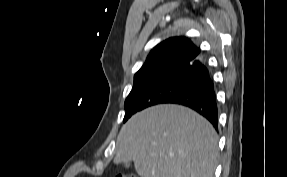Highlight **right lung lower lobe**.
Wrapping results in <instances>:
<instances>
[{
  "label": "right lung lower lobe",
  "instance_id": "1",
  "mask_svg": "<svg viewBox=\"0 0 287 177\" xmlns=\"http://www.w3.org/2000/svg\"><path fill=\"white\" fill-rule=\"evenodd\" d=\"M161 103L190 107L217 129L218 108L214 83L199 58L181 64L155 80L129 107L127 113L132 116L146 107Z\"/></svg>",
  "mask_w": 287,
  "mask_h": 177
}]
</instances>
